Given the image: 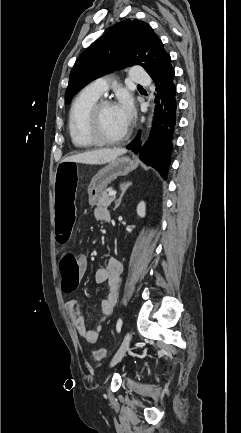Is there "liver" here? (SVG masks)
Wrapping results in <instances>:
<instances>
[{
  "label": "liver",
  "instance_id": "1",
  "mask_svg": "<svg viewBox=\"0 0 241 433\" xmlns=\"http://www.w3.org/2000/svg\"><path fill=\"white\" fill-rule=\"evenodd\" d=\"M126 152V149H99L68 156L64 158L62 162L73 161L90 165H102L115 160L118 156Z\"/></svg>",
  "mask_w": 241,
  "mask_h": 433
}]
</instances>
